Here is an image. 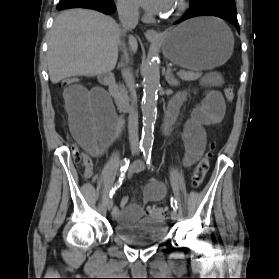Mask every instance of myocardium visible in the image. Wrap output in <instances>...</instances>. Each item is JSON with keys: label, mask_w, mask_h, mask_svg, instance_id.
<instances>
[{"label": "myocardium", "mask_w": 279, "mask_h": 279, "mask_svg": "<svg viewBox=\"0 0 279 279\" xmlns=\"http://www.w3.org/2000/svg\"><path fill=\"white\" fill-rule=\"evenodd\" d=\"M176 2V7L174 11L171 13V15L167 18L168 20L174 19L177 16H179L186 8L185 0H177Z\"/></svg>", "instance_id": "f54148a6"}]
</instances>
